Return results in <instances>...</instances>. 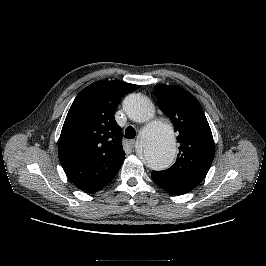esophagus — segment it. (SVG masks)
<instances>
[{"label": "esophagus", "instance_id": "1", "mask_svg": "<svg viewBox=\"0 0 266 266\" xmlns=\"http://www.w3.org/2000/svg\"><path fill=\"white\" fill-rule=\"evenodd\" d=\"M129 143H130L131 147L134 148L136 141L135 140H130Z\"/></svg>", "mask_w": 266, "mask_h": 266}]
</instances>
